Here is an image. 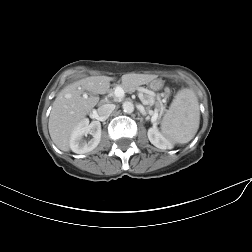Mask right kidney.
<instances>
[{"mask_svg": "<svg viewBox=\"0 0 252 252\" xmlns=\"http://www.w3.org/2000/svg\"><path fill=\"white\" fill-rule=\"evenodd\" d=\"M91 134L93 138L90 141H85L83 138ZM101 140V123L92 121L89 124L88 119L81 121L73 130L70 137V148L74 153L84 154L95 149Z\"/></svg>", "mask_w": 252, "mask_h": 252, "instance_id": "right-kidney-1", "label": "right kidney"}]
</instances>
